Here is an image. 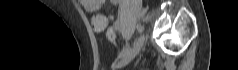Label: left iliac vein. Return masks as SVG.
<instances>
[{"label":"left iliac vein","instance_id":"1","mask_svg":"<svg viewBox=\"0 0 238 70\" xmlns=\"http://www.w3.org/2000/svg\"><path fill=\"white\" fill-rule=\"evenodd\" d=\"M144 40H145L144 35L143 34L140 35L139 38L137 39L136 43L134 44V46L129 50V52L124 57H122L118 61V63L116 64V66L114 68H116V69L122 68V67L126 66L131 60H133L134 57L139 53V51L143 47Z\"/></svg>","mask_w":238,"mask_h":70}]
</instances>
